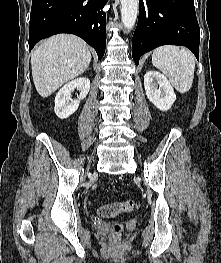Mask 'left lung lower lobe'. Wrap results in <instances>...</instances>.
Wrapping results in <instances>:
<instances>
[{
    "label": "left lung lower lobe",
    "mask_w": 221,
    "mask_h": 263,
    "mask_svg": "<svg viewBox=\"0 0 221 263\" xmlns=\"http://www.w3.org/2000/svg\"><path fill=\"white\" fill-rule=\"evenodd\" d=\"M200 28L193 0H139L132 40L136 65L140 57L161 45H183L199 59Z\"/></svg>",
    "instance_id": "0a47b994"
}]
</instances>
